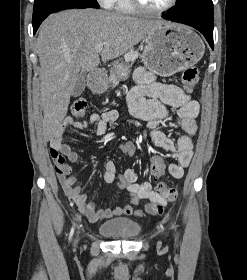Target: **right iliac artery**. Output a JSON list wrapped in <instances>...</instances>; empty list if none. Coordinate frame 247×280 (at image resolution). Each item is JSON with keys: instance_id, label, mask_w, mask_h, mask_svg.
I'll list each match as a JSON object with an SVG mask.
<instances>
[{"instance_id": "82829eb1", "label": "right iliac artery", "mask_w": 247, "mask_h": 280, "mask_svg": "<svg viewBox=\"0 0 247 280\" xmlns=\"http://www.w3.org/2000/svg\"><path fill=\"white\" fill-rule=\"evenodd\" d=\"M73 232H74V227L71 229L69 240L72 238Z\"/></svg>"}]
</instances>
